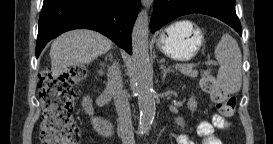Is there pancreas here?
I'll return each instance as SVG.
<instances>
[{"label": "pancreas", "instance_id": "1", "mask_svg": "<svg viewBox=\"0 0 273 144\" xmlns=\"http://www.w3.org/2000/svg\"><path fill=\"white\" fill-rule=\"evenodd\" d=\"M180 71L182 74L191 78H195L198 74L196 70H193L192 68H187V67L180 69Z\"/></svg>", "mask_w": 273, "mask_h": 144}]
</instances>
